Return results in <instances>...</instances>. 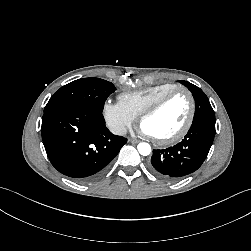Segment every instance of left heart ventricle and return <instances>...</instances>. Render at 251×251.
<instances>
[{"label": "left heart ventricle", "mask_w": 251, "mask_h": 251, "mask_svg": "<svg viewBox=\"0 0 251 251\" xmlns=\"http://www.w3.org/2000/svg\"><path fill=\"white\" fill-rule=\"evenodd\" d=\"M190 110L189 100L180 93L172 97L157 113L146 118L142 126L152 137L167 138L177 133L185 124Z\"/></svg>", "instance_id": "b2bd125f"}]
</instances>
